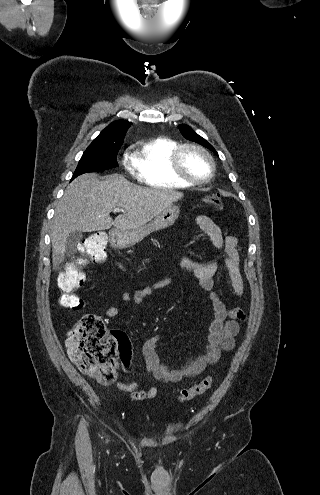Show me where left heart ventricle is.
Listing matches in <instances>:
<instances>
[{
    "instance_id": "obj_1",
    "label": "left heart ventricle",
    "mask_w": 320,
    "mask_h": 495,
    "mask_svg": "<svg viewBox=\"0 0 320 495\" xmlns=\"http://www.w3.org/2000/svg\"><path fill=\"white\" fill-rule=\"evenodd\" d=\"M184 171L194 178H204L209 174V163L203 154L196 150H187L182 157Z\"/></svg>"
}]
</instances>
